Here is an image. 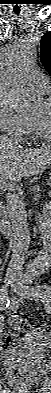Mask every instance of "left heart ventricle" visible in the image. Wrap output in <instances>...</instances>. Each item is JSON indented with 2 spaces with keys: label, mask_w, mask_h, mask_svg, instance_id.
Returning <instances> with one entry per match:
<instances>
[{
  "label": "left heart ventricle",
  "mask_w": 51,
  "mask_h": 393,
  "mask_svg": "<svg viewBox=\"0 0 51 393\" xmlns=\"http://www.w3.org/2000/svg\"><path fill=\"white\" fill-rule=\"evenodd\" d=\"M35 118L43 120L47 125L51 123V107L43 102L35 114Z\"/></svg>",
  "instance_id": "obj_1"
}]
</instances>
